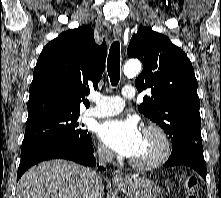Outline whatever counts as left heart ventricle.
Returning a JSON list of instances; mask_svg holds the SVG:
<instances>
[{
	"label": "left heart ventricle",
	"mask_w": 221,
	"mask_h": 198,
	"mask_svg": "<svg viewBox=\"0 0 221 198\" xmlns=\"http://www.w3.org/2000/svg\"><path fill=\"white\" fill-rule=\"evenodd\" d=\"M159 147V141L155 136L142 133L139 146L131 158L138 161L149 160L157 154Z\"/></svg>",
	"instance_id": "1"
}]
</instances>
